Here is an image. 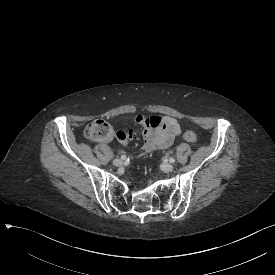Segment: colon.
<instances>
[{"label":"colon","mask_w":275,"mask_h":275,"mask_svg":"<svg viewBox=\"0 0 275 275\" xmlns=\"http://www.w3.org/2000/svg\"><path fill=\"white\" fill-rule=\"evenodd\" d=\"M113 133L111 125L101 119L88 123L84 129V137L87 141H106L112 138ZM183 137L189 143L197 141V136L192 130H185Z\"/></svg>","instance_id":"1"}]
</instances>
